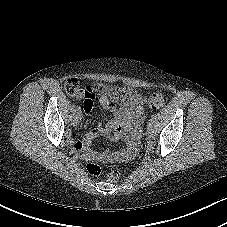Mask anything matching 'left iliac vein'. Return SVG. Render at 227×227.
<instances>
[{
  "mask_svg": "<svg viewBox=\"0 0 227 227\" xmlns=\"http://www.w3.org/2000/svg\"><path fill=\"white\" fill-rule=\"evenodd\" d=\"M147 136L151 139L155 137V130L152 126L147 128Z\"/></svg>",
  "mask_w": 227,
  "mask_h": 227,
  "instance_id": "obj_1",
  "label": "left iliac vein"
}]
</instances>
